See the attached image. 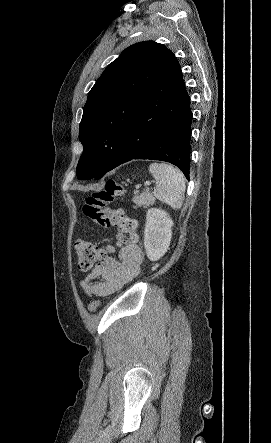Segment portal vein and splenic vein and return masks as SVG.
<instances>
[{
  "instance_id": "obj_1",
  "label": "portal vein and splenic vein",
  "mask_w": 271,
  "mask_h": 443,
  "mask_svg": "<svg viewBox=\"0 0 271 443\" xmlns=\"http://www.w3.org/2000/svg\"><path fill=\"white\" fill-rule=\"evenodd\" d=\"M145 186H150V182H145Z\"/></svg>"
}]
</instances>
